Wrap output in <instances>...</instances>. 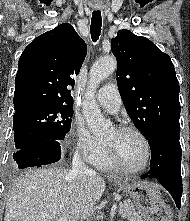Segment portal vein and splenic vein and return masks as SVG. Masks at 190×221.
I'll use <instances>...</instances> for the list:
<instances>
[{
    "instance_id": "obj_1",
    "label": "portal vein and splenic vein",
    "mask_w": 190,
    "mask_h": 221,
    "mask_svg": "<svg viewBox=\"0 0 190 221\" xmlns=\"http://www.w3.org/2000/svg\"><path fill=\"white\" fill-rule=\"evenodd\" d=\"M119 206H120V208L125 207V205L123 203H120ZM58 221H67V219L65 217H63V218H59Z\"/></svg>"
}]
</instances>
